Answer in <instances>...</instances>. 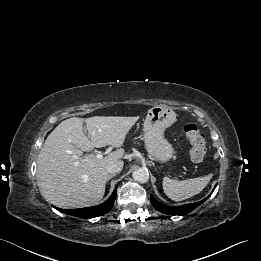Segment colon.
Listing matches in <instances>:
<instances>
[{
    "instance_id": "5ec220e1",
    "label": "colon",
    "mask_w": 261,
    "mask_h": 261,
    "mask_svg": "<svg viewBox=\"0 0 261 261\" xmlns=\"http://www.w3.org/2000/svg\"><path fill=\"white\" fill-rule=\"evenodd\" d=\"M184 135L186 141L191 147L190 159L194 163L202 162L206 156V143L204 135L193 123H189L184 126Z\"/></svg>"
}]
</instances>
